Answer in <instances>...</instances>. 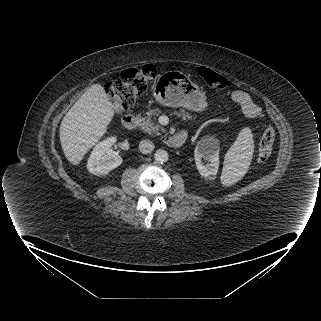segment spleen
Here are the masks:
<instances>
[{
    "label": "spleen",
    "instance_id": "3e777b00",
    "mask_svg": "<svg viewBox=\"0 0 321 321\" xmlns=\"http://www.w3.org/2000/svg\"><path fill=\"white\" fill-rule=\"evenodd\" d=\"M254 152L252 131L249 127L243 128L227 151L224 158L222 184L232 185L240 180L249 168Z\"/></svg>",
    "mask_w": 321,
    "mask_h": 321
}]
</instances>
